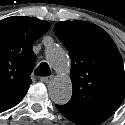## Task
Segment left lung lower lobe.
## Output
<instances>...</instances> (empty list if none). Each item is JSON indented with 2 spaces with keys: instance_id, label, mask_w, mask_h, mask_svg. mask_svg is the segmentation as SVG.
<instances>
[{
  "instance_id": "0a47b994",
  "label": "left lung lower lobe",
  "mask_w": 125,
  "mask_h": 125,
  "mask_svg": "<svg viewBox=\"0 0 125 125\" xmlns=\"http://www.w3.org/2000/svg\"><path fill=\"white\" fill-rule=\"evenodd\" d=\"M60 113L69 120L81 125H98L114 114V110L104 109L97 111H72L56 105Z\"/></svg>"
}]
</instances>
